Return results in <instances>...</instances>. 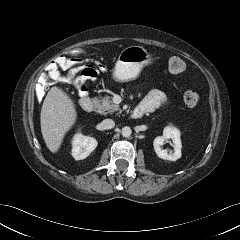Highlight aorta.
<instances>
[{
	"instance_id": "762f6f07",
	"label": "aorta",
	"mask_w": 240,
	"mask_h": 240,
	"mask_svg": "<svg viewBox=\"0 0 240 240\" xmlns=\"http://www.w3.org/2000/svg\"><path fill=\"white\" fill-rule=\"evenodd\" d=\"M131 133H132V130L128 126L123 127L121 130V134L123 137H130Z\"/></svg>"
}]
</instances>
